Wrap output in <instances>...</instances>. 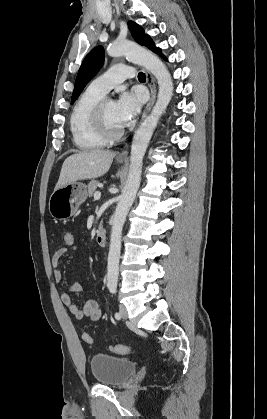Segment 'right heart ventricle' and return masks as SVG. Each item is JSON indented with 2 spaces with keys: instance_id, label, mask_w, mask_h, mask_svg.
<instances>
[{
  "instance_id": "right-heart-ventricle-1",
  "label": "right heart ventricle",
  "mask_w": 267,
  "mask_h": 419,
  "mask_svg": "<svg viewBox=\"0 0 267 419\" xmlns=\"http://www.w3.org/2000/svg\"><path fill=\"white\" fill-rule=\"evenodd\" d=\"M100 93L88 87L76 101L70 115V130L75 145L83 151L103 147L107 142L95 130L93 112L96 105L104 98Z\"/></svg>"
}]
</instances>
